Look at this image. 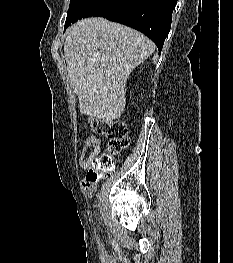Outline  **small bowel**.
I'll use <instances>...</instances> for the list:
<instances>
[{
  "mask_svg": "<svg viewBox=\"0 0 233 263\" xmlns=\"http://www.w3.org/2000/svg\"><path fill=\"white\" fill-rule=\"evenodd\" d=\"M84 147L81 150L79 157V164L85 170H89L93 161L102 150L101 140L94 135H83ZM82 185L89 195H93L96 191V183H88L83 179Z\"/></svg>",
  "mask_w": 233,
  "mask_h": 263,
  "instance_id": "obj_1",
  "label": "small bowel"
}]
</instances>
